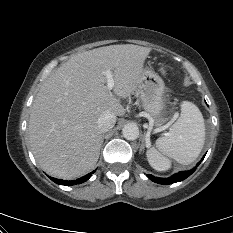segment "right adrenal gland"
<instances>
[{
	"label": "right adrenal gland",
	"mask_w": 233,
	"mask_h": 233,
	"mask_svg": "<svg viewBox=\"0 0 233 233\" xmlns=\"http://www.w3.org/2000/svg\"><path fill=\"white\" fill-rule=\"evenodd\" d=\"M103 137H104V135L102 136V142H103Z\"/></svg>",
	"instance_id": "obj_1"
}]
</instances>
